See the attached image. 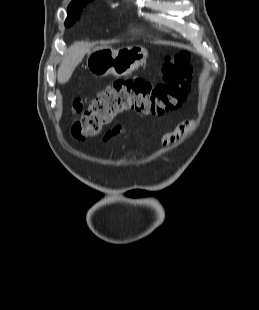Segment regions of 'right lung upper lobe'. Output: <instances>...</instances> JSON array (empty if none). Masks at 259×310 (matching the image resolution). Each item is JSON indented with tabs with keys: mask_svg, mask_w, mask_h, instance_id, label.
<instances>
[{
	"mask_svg": "<svg viewBox=\"0 0 259 310\" xmlns=\"http://www.w3.org/2000/svg\"><path fill=\"white\" fill-rule=\"evenodd\" d=\"M87 1H91V0H73L69 6H68V9H73L75 8L76 6H78L79 4L83 3V2H87Z\"/></svg>",
	"mask_w": 259,
	"mask_h": 310,
	"instance_id": "obj_1",
	"label": "right lung upper lobe"
}]
</instances>
